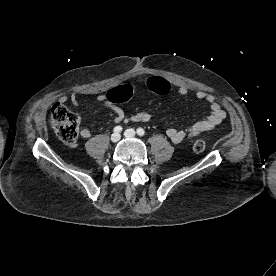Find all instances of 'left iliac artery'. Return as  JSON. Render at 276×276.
I'll use <instances>...</instances> for the list:
<instances>
[{
	"label": "left iliac artery",
	"instance_id": "left-iliac-artery-1",
	"mask_svg": "<svg viewBox=\"0 0 276 276\" xmlns=\"http://www.w3.org/2000/svg\"><path fill=\"white\" fill-rule=\"evenodd\" d=\"M137 134H138L139 136H143V135L145 134L144 129H143V128H138V129H137Z\"/></svg>",
	"mask_w": 276,
	"mask_h": 276
}]
</instances>
